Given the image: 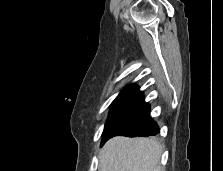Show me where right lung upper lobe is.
Listing matches in <instances>:
<instances>
[{
  "label": "right lung upper lobe",
  "mask_w": 223,
  "mask_h": 171,
  "mask_svg": "<svg viewBox=\"0 0 223 171\" xmlns=\"http://www.w3.org/2000/svg\"><path fill=\"white\" fill-rule=\"evenodd\" d=\"M142 92L139 91V88L137 86H128L126 87L117 98H134L139 99L141 98Z\"/></svg>",
  "instance_id": "cb5924a9"
}]
</instances>
